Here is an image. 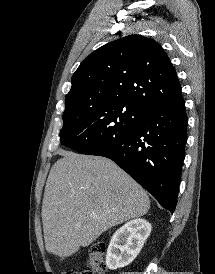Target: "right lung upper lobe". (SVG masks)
<instances>
[{
	"label": "right lung upper lobe",
	"instance_id": "right-lung-upper-lobe-1",
	"mask_svg": "<svg viewBox=\"0 0 215 274\" xmlns=\"http://www.w3.org/2000/svg\"><path fill=\"white\" fill-rule=\"evenodd\" d=\"M65 102L119 101L143 110L183 99L176 71L154 40L130 35L100 47L72 76Z\"/></svg>",
	"mask_w": 215,
	"mask_h": 274
}]
</instances>
